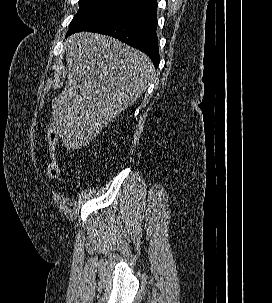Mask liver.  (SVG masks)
Wrapping results in <instances>:
<instances>
[{
	"label": "liver",
	"instance_id": "liver-1",
	"mask_svg": "<svg viewBox=\"0 0 272 303\" xmlns=\"http://www.w3.org/2000/svg\"><path fill=\"white\" fill-rule=\"evenodd\" d=\"M64 45L67 82L52 100V114L64 146L75 149L133 104L155 69L146 54L109 36L79 32Z\"/></svg>",
	"mask_w": 272,
	"mask_h": 303
}]
</instances>
